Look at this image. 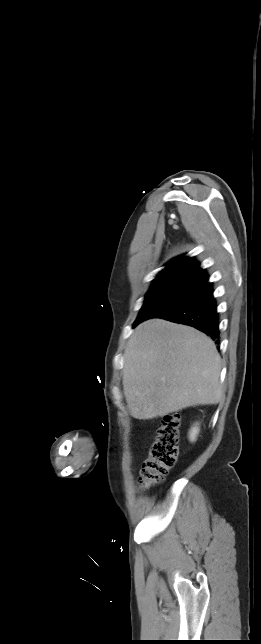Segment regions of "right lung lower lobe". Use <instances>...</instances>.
I'll return each mask as SVG.
<instances>
[{
    "instance_id": "1",
    "label": "right lung lower lobe",
    "mask_w": 261,
    "mask_h": 644,
    "mask_svg": "<svg viewBox=\"0 0 261 644\" xmlns=\"http://www.w3.org/2000/svg\"><path fill=\"white\" fill-rule=\"evenodd\" d=\"M212 283L205 282L188 301L160 316L175 323L192 326L219 344V322Z\"/></svg>"
}]
</instances>
